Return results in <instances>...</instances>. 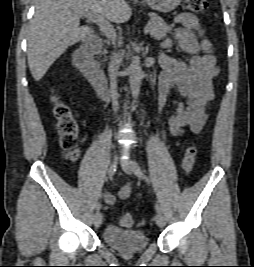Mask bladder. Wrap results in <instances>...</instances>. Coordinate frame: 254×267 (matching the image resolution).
Wrapping results in <instances>:
<instances>
[{
	"instance_id": "obj_1",
	"label": "bladder",
	"mask_w": 254,
	"mask_h": 267,
	"mask_svg": "<svg viewBox=\"0 0 254 267\" xmlns=\"http://www.w3.org/2000/svg\"><path fill=\"white\" fill-rule=\"evenodd\" d=\"M104 241L122 252H139L148 245V237L142 230L123 229L117 225H107L102 233Z\"/></svg>"
}]
</instances>
